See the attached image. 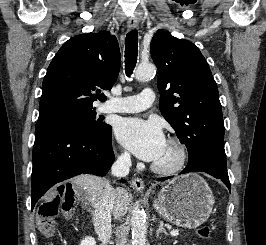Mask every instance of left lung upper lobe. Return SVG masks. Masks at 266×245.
<instances>
[{
  "instance_id": "obj_1",
  "label": "left lung upper lobe",
  "mask_w": 266,
  "mask_h": 245,
  "mask_svg": "<svg viewBox=\"0 0 266 245\" xmlns=\"http://www.w3.org/2000/svg\"><path fill=\"white\" fill-rule=\"evenodd\" d=\"M150 51L158 69L160 111L188 149V164L213 157L226 163L217 84L200 50L159 30Z\"/></svg>"
}]
</instances>
